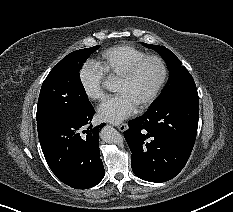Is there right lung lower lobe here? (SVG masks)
<instances>
[{"label":"right lung lower lobe","instance_id":"98d812e1","mask_svg":"<svg viewBox=\"0 0 233 212\" xmlns=\"http://www.w3.org/2000/svg\"><path fill=\"white\" fill-rule=\"evenodd\" d=\"M94 113L91 107L38 133L50 169L59 180L76 189L97 185L105 174L99 152V131L105 124L89 125Z\"/></svg>","mask_w":233,"mask_h":212}]
</instances>
